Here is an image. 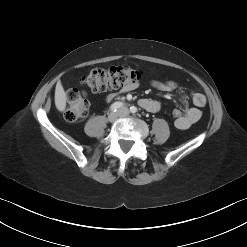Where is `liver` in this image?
Returning a JSON list of instances; mask_svg holds the SVG:
<instances>
[{"instance_id": "liver-1", "label": "liver", "mask_w": 247, "mask_h": 247, "mask_svg": "<svg viewBox=\"0 0 247 247\" xmlns=\"http://www.w3.org/2000/svg\"><path fill=\"white\" fill-rule=\"evenodd\" d=\"M55 106L63 112L66 108V93L60 81L57 82L55 87Z\"/></svg>"}]
</instances>
